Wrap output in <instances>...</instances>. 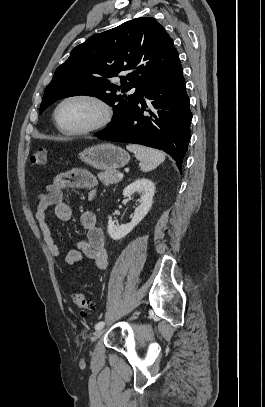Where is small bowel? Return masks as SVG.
<instances>
[{
    "label": "small bowel",
    "instance_id": "1",
    "mask_svg": "<svg viewBox=\"0 0 265 407\" xmlns=\"http://www.w3.org/2000/svg\"><path fill=\"white\" fill-rule=\"evenodd\" d=\"M69 187L86 190L90 196H93L97 187V180L89 171L75 168L58 174L46 186V192L38 195L35 218L45 244L54 257H59L60 252L56 238L46 221V211L49 207H53L55 216L61 221H69L72 218V208L63 201L64 191ZM80 225L86 233V239L74 243L73 248L68 251L64 258L65 265L70 267L83 259H89L94 262L98 269H106L108 256L105 250V235L97 223L95 214L92 212L83 213L80 217Z\"/></svg>",
    "mask_w": 265,
    "mask_h": 407
}]
</instances>
